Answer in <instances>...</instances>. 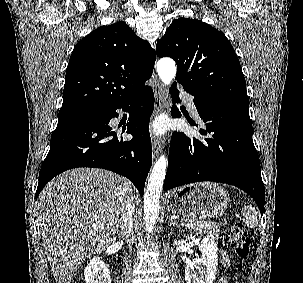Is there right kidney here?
<instances>
[{
    "label": "right kidney",
    "instance_id": "right-kidney-1",
    "mask_svg": "<svg viewBox=\"0 0 303 283\" xmlns=\"http://www.w3.org/2000/svg\"><path fill=\"white\" fill-rule=\"evenodd\" d=\"M86 283H111L110 272L105 263L94 257L84 269Z\"/></svg>",
    "mask_w": 303,
    "mask_h": 283
}]
</instances>
